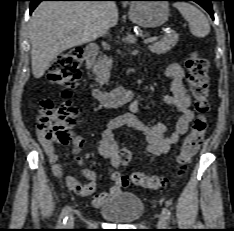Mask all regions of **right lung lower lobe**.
Returning <instances> with one entry per match:
<instances>
[{
	"label": "right lung lower lobe",
	"instance_id": "right-lung-lower-lobe-1",
	"mask_svg": "<svg viewBox=\"0 0 234 231\" xmlns=\"http://www.w3.org/2000/svg\"><path fill=\"white\" fill-rule=\"evenodd\" d=\"M31 1L30 5V13L36 8V6L41 2V1H85V0H29ZM92 1V0H89ZM94 1V0H93ZM118 1V0H115Z\"/></svg>",
	"mask_w": 234,
	"mask_h": 231
}]
</instances>
